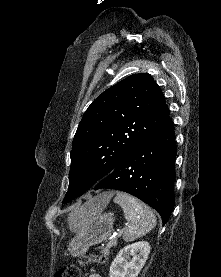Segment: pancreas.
<instances>
[{
    "label": "pancreas",
    "instance_id": "1",
    "mask_svg": "<svg viewBox=\"0 0 221 277\" xmlns=\"http://www.w3.org/2000/svg\"><path fill=\"white\" fill-rule=\"evenodd\" d=\"M108 255H109V248H104L102 250V256L106 258Z\"/></svg>",
    "mask_w": 221,
    "mask_h": 277
}]
</instances>
